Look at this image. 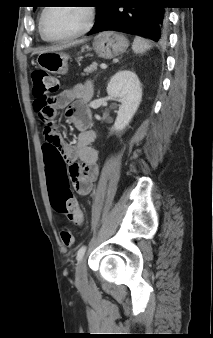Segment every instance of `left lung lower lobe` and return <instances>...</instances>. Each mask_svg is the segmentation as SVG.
<instances>
[{"mask_svg": "<svg viewBox=\"0 0 213 338\" xmlns=\"http://www.w3.org/2000/svg\"><path fill=\"white\" fill-rule=\"evenodd\" d=\"M164 4L163 0H102L88 35L112 30L164 43L168 26Z\"/></svg>", "mask_w": 213, "mask_h": 338, "instance_id": "left-lung-lower-lobe-1", "label": "left lung lower lobe"}]
</instances>
